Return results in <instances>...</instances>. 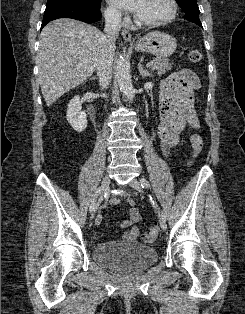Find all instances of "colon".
I'll use <instances>...</instances> for the list:
<instances>
[{"mask_svg":"<svg viewBox=\"0 0 245 314\" xmlns=\"http://www.w3.org/2000/svg\"><path fill=\"white\" fill-rule=\"evenodd\" d=\"M201 58L202 55L198 50L194 49L189 51L188 53V59L192 63H198L201 60ZM190 144L192 148V154L194 157H196L203 148V140L198 134H193L190 137ZM158 232H159L158 227L155 225L141 235V240L147 243H151L157 238Z\"/></svg>","mask_w":245,"mask_h":314,"instance_id":"colon-1","label":"colon"}]
</instances>
